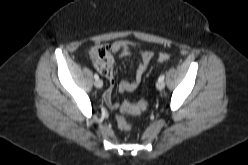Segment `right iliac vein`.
<instances>
[{"label": "right iliac vein", "instance_id": "1", "mask_svg": "<svg viewBox=\"0 0 248 165\" xmlns=\"http://www.w3.org/2000/svg\"><path fill=\"white\" fill-rule=\"evenodd\" d=\"M94 85L96 88H102L103 82L100 79L95 80Z\"/></svg>", "mask_w": 248, "mask_h": 165}]
</instances>
